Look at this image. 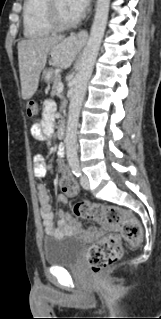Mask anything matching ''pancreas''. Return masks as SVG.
I'll return each mask as SVG.
<instances>
[{
    "mask_svg": "<svg viewBox=\"0 0 161 319\" xmlns=\"http://www.w3.org/2000/svg\"><path fill=\"white\" fill-rule=\"evenodd\" d=\"M61 83V76L59 74H55L53 78V85H52V95H58V86Z\"/></svg>",
    "mask_w": 161,
    "mask_h": 319,
    "instance_id": "obj_1",
    "label": "pancreas"
}]
</instances>
